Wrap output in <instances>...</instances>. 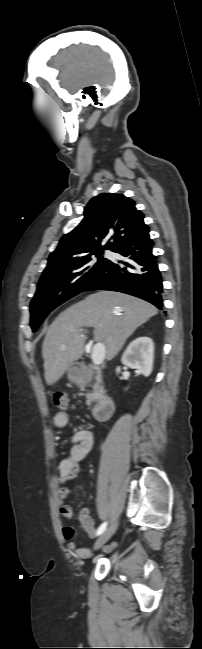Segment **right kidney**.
Returning <instances> with one entry per match:
<instances>
[{
	"label": "right kidney",
	"instance_id": "ca27d5eb",
	"mask_svg": "<svg viewBox=\"0 0 202 649\" xmlns=\"http://www.w3.org/2000/svg\"><path fill=\"white\" fill-rule=\"evenodd\" d=\"M154 344L150 337H137L126 348L122 356V364L136 369L138 373L149 376L153 369ZM120 367L116 372L120 373Z\"/></svg>",
	"mask_w": 202,
	"mask_h": 649
}]
</instances>
